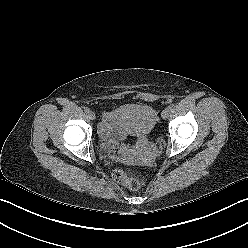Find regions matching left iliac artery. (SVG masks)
Returning a JSON list of instances; mask_svg holds the SVG:
<instances>
[{
    "instance_id": "44dca946",
    "label": "left iliac artery",
    "mask_w": 248,
    "mask_h": 248,
    "mask_svg": "<svg viewBox=\"0 0 248 248\" xmlns=\"http://www.w3.org/2000/svg\"><path fill=\"white\" fill-rule=\"evenodd\" d=\"M168 109H169V110H172V106H168Z\"/></svg>"
}]
</instances>
